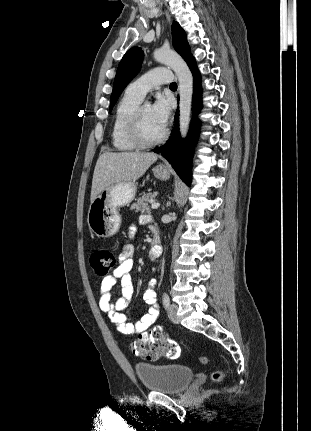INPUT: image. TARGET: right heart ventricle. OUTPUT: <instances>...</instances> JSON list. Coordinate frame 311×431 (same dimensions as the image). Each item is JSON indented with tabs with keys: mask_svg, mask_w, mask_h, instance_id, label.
<instances>
[{
	"mask_svg": "<svg viewBox=\"0 0 311 431\" xmlns=\"http://www.w3.org/2000/svg\"><path fill=\"white\" fill-rule=\"evenodd\" d=\"M142 98L127 89L117 102L114 110L111 141L115 150L130 152L138 149L129 135V123L133 112L140 105Z\"/></svg>",
	"mask_w": 311,
	"mask_h": 431,
	"instance_id": "obj_1",
	"label": "right heart ventricle"
}]
</instances>
